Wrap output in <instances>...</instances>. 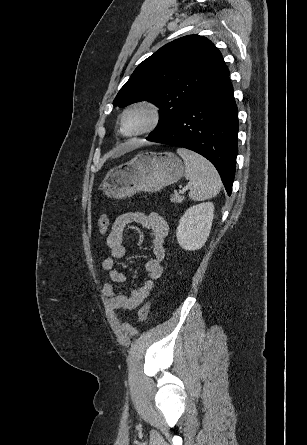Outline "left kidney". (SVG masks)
I'll return each mask as SVG.
<instances>
[{"label": "left kidney", "mask_w": 307, "mask_h": 445, "mask_svg": "<svg viewBox=\"0 0 307 445\" xmlns=\"http://www.w3.org/2000/svg\"><path fill=\"white\" fill-rule=\"evenodd\" d=\"M213 202L190 206L179 220L177 241L185 251H198L205 245L212 227Z\"/></svg>", "instance_id": "left-kidney-1"}]
</instances>
